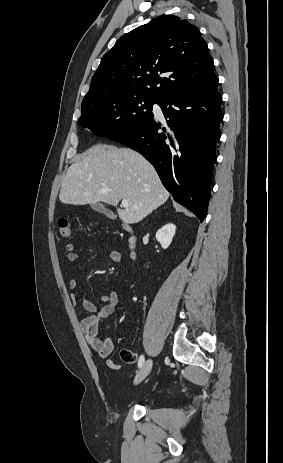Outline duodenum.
I'll return each mask as SVG.
<instances>
[{
  "label": "duodenum",
  "instance_id": "duodenum-1",
  "mask_svg": "<svg viewBox=\"0 0 283 463\" xmlns=\"http://www.w3.org/2000/svg\"><path fill=\"white\" fill-rule=\"evenodd\" d=\"M122 226H123L124 230H126L130 234L129 244H130V247L132 249L131 254H132V257H135L136 252H135L134 248L136 246V236L134 234L133 227L130 224H123Z\"/></svg>",
  "mask_w": 283,
  "mask_h": 463
}]
</instances>
